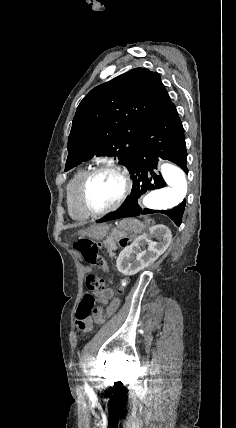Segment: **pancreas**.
Masks as SVG:
<instances>
[{
	"label": "pancreas",
	"mask_w": 236,
	"mask_h": 428,
	"mask_svg": "<svg viewBox=\"0 0 236 428\" xmlns=\"http://www.w3.org/2000/svg\"><path fill=\"white\" fill-rule=\"evenodd\" d=\"M114 250H117V248H116V242H112L111 250L109 252L110 258H113V256H115Z\"/></svg>",
	"instance_id": "obj_1"
}]
</instances>
